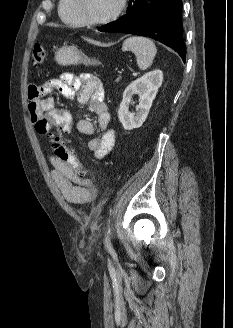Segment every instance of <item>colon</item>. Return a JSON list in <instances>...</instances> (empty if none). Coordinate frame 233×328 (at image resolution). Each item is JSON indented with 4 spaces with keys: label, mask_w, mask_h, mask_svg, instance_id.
<instances>
[{
    "label": "colon",
    "mask_w": 233,
    "mask_h": 328,
    "mask_svg": "<svg viewBox=\"0 0 233 328\" xmlns=\"http://www.w3.org/2000/svg\"><path fill=\"white\" fill-rule=\"evenodd\" d=\"M46 58V49L41 44H35L32 52V66L39 67ZM72 126L71 114L62 108L53 109L35 122L38 133L48 135L51 139L54 156L67 165L79 176H84V170L72 150L67 146L64 135Z\"/></svg>",
    "instance_id": "5ec220e1"
}]
</instances>
